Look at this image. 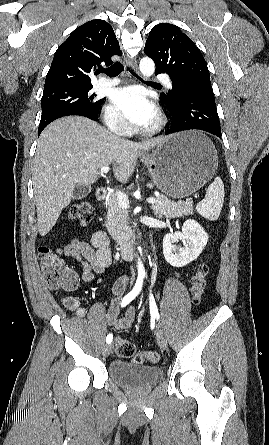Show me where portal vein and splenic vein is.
<instances>
[{"label":"portal vein and splenic vein","instance_id":"1","mask_svg":"<svg viewBox=\"0 0 269 445\" xmlns=\"http://www.w3.org/2000/svg\"><path fill=\"white\" fill-rule=\"evenodd\" d=\"M109 171V166H103L100 170L101 174H106ZM117 193V200L119 202V204L123 207V208H129V200L128 197L126 196V194H124L121 191L116 192ZM147 202L149 204H155L157 202V200L153 197L148 198Z\"/></svg>","mask_w":269,"mask_h":445}]
</instances>
